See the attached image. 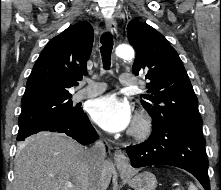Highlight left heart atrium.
<instances>
[{
  "label": "left heart atrium",
  "instance_id": "1",
  "mask_svg": "<svg viewBox=\"0 0 221 190\" xmlns=\"http://www.w3.org/2000/svg\"><path fill=\"white\" fill-rule=\"evenodd\" d=\"M90 115L96 124L111 133L126 129L132 121L128 103L113 95L95 99L90 105Z\"/></svg>",
  "mask_w": 221,
  "mask_h": 190
}]
</instances>
